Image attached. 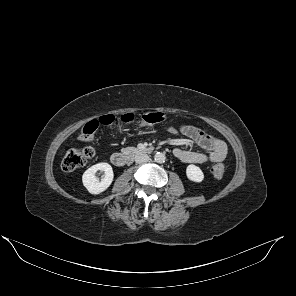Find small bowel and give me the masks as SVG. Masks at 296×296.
Here are the masks:
<instances>
[{
    "label": "small bowel",
    "mask_w": 296,
    "mask_h": 296,
    "mask_svg": "<svg viewBox=\"0 0 296 296\" xmlns=\"http://www.w3.org/2000/svg\"><path fill=\"white\" fill-rule=\"evenodd\" d=\"M168 131L173 134L181 133L193 143L207 150L206 153H202L184 147L175 148L173 151L175 157L184 163H216L222 162L227 156V145L222 139L196 126L183 125L178 129L169 127Z\"/></svg>",
    "instance_id": "small-bowel-1"
}]
</instances>
